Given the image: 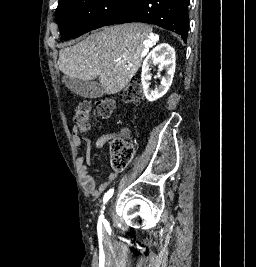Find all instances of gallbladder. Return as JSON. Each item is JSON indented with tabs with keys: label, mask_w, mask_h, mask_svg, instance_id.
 Instances as JSON below:
<instances>
[{
	"label": "gallbladder",
	"mask_w": 256,
	"mask_h": 267,
	"mask_svg": "<svg viewBox=\"0 0 256 267\" xmlns=\"http://www.w3.org/2000/svg\"><path fill=\"white\" fill-rule=\"evenodd\" d=\"M62 82L72 94L81 96V98H102L105 94L101 84L97 82H84V80L70 78V76H63Z\"/></svg>",
	"instance_id": "1"
}]
</instances>
